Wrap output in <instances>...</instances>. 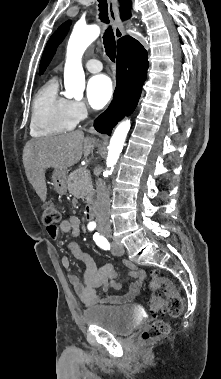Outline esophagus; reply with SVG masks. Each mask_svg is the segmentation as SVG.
Returning a JSON list of instances; mask_svg holds the SVG:
<instances>
[{"mask_svg":"<svg viewBox=\"0 0 221 379\" xmlns=\"http://www.w3.org/2000/svg\"><path fill=\"white\" fill-rule=\"evenodd\" d=\"M107 4H108L109 17L113 25L115 38L120 39L121 37H123L124 32H123V26L118 14L117 1L107 0Z\"/></svg>","mask_w":221,"mask_h":379,"instance_id":"esophagus-1","label":"esophagus"}]
</instances>
